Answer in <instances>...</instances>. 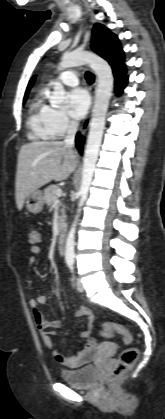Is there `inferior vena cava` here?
Masks as SVG:
<instances>
[{
  "label": "inferior vena cava",
  "mask_w": 165,
  "mask_h": 419,
  "mask_svg": "<svg viewBox=\"0 0 165 419\" xmlns=\"http://www.w3.org/2000/svg\"><path fill=\"white\" fill-rule=\"evenodd\" d=\"M78 122L75 120H71L67 129V135L64 139V144L71 148L74 145L75 135L78 128Z\"/></svg>",
  "instance_id": "inferior-vena-cava-1"
}]
</instances>
